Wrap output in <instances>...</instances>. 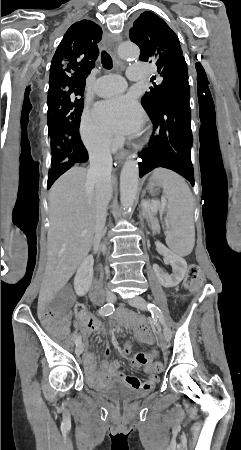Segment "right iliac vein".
<instances>
[{
	"instance_id": "1",
	"label": "right iliac vein",
	"mask_w": 241,
	"mask_h": 450,
	"mask_svg": "<svg viewBox=\"0 0 241 450\" xmlns=\"http://www.w3.org/2000/svg\"><path fill=\"white\" fill-rule=\"evenodd\" d=\"M105 297H106V300H107L109 303L114 302V301H115V298H116V297H115V294L112 293V292H107L106 295H105ZM83 350H84V345H83L82 343L78 344L77 347H76V349H75V354H76V356H79V355L83 352Z\"/></svg>"
}]
</instances>
